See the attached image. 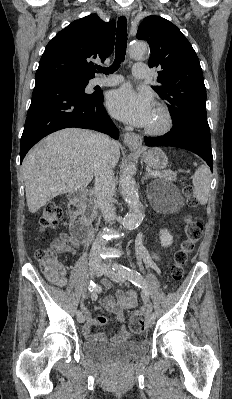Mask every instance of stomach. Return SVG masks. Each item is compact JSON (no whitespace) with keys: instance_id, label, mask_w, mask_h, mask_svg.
Here are the masks:
<instances>
[{"instance_id":"obj_1","label":"stomach","mask_w":232,"mask_h":399,"mask_svg":"<svg viewBox=\"0 0 232 399\" xmlns=\"http://www.w3.org/2000/svg\"><path fill=\"white\" fill-rule=\"evenodd\" d=\"M133 152H137V150H133ZM140 154H142V158L150 168H154V170H164L168 164V158L160 148H152V150H140Z\"/></svg>"}]
</instances>
